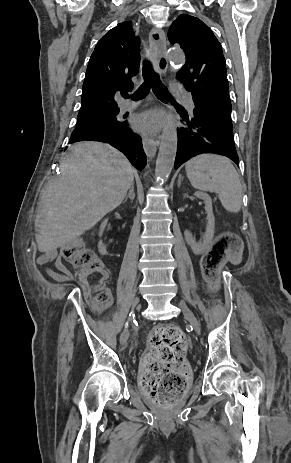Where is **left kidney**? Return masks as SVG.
I'll use <instances>...</instances> for the list:
<instances>
[{"label": "left kidney", "instance_id": "left-kidney-1", "mask_svg": "<svg viewBox=\"0 0 291 463\" xmlns=\"http://www.w3.org/2000/svg\"><path fill=\"white\" fill-rule=\"evenodd\" d=\"M186 196L187 195L185 194L184 197ZM195 196L203 200L205 203V211L207 214L206 231L203 236V240L200 242H196L195 238L192 236L191 232L188 230L184 232V236H185L187 244L191 246L194 254L199 255V254L204 253L207 250L210 243L212 242V239L214 236L215 218H214L213 210H212L211 197L207 193L200 192V191L196 192Z\"/></svg>", "mask_w": 291, "mask_h": 463}]
</instances>
